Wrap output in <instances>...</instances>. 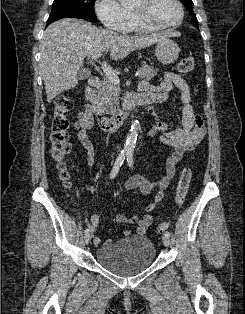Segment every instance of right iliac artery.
Returning a JSON list of instances; mask_svg holds the SVG:
<instances>
[{"label": "right iliac artery", "mask_w": 245, "mask_h": 314, "mask_svg": "<svg viewBox=\"0 0 245 314\" xmlns=\"http://www.w3.org/2000/svg\"><path fill=\"white\" fill-rule=\"evenodd\" d=\"M126 156H127L126 153H121L118 156V158L116 159V162L113 166V169L110 173V179H113L118 174V171H119L120 167L122 166ZM89 232H90V229H88V228L84 231L85 235L89 234Z\"/></svg>", "instance_id": "82829eb1"}]
</instances>
